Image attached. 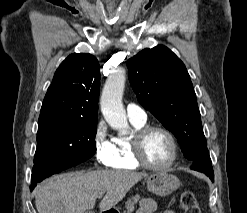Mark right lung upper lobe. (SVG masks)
<instances>
[{"label":"right lung upper lobe","instance_id":"obj_1","mask_svg":"<svg viewBox=\"0 0 247 213\" xmlns=\"http://www.w3.org/2000/svg\"><path fill=\"white\" fill-rule=\"evenodd\" d=\"M98 60L88 53L69 55L56 70L44 98L39 121L97 122L100 92Z\"/></svg>","mask_w":247,"mask_h":213}]
</instances>
